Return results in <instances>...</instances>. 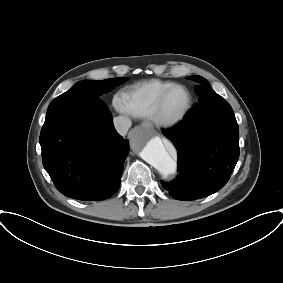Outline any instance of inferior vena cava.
<instances>
[{
	"instance_id": "1",
	"label": "inferior vena cava",
	"mask_w": 283,
	"mask_h": 283,
	"mask_svg": "<svg viewBox=\"0 0 283 283\" xmlns=\"http://www.w3.org/2000/svg\"><path fill=\"white\" fill-rule=\"evenodd\" d=\"M114 127L116 131L121 135L125 136L131 127V120L125 116H118L113 119Z\"/></svg>"
}]
</instances>
